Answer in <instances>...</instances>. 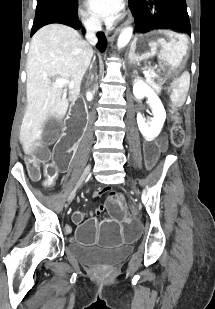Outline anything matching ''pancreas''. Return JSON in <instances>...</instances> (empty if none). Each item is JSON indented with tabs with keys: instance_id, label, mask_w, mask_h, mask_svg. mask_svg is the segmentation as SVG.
<instances>
[{
	"instance_id": "pancreas-1",
	"label": "pancreas",
	"mask_w": 215,
	"mask_h": 309,
	"mask_svg": "<svg viewBox=\"0 0 215 309\" xmlns=\"http://www.w3.org/2000/svg\"><path fill=\"white\" fill-rule=\"evenodd\" d=\"M147 84H152V86H154L155 90H157V92H159L160 86H159V84H154V78H149V80H147Z\"/></svg>"
}]
</instances>
